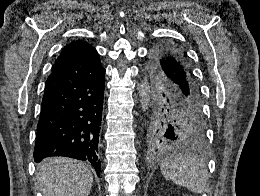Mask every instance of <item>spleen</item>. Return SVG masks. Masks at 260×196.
I'll list each match as a JSON object with an SVG mask.
<instances>
[{
  "label": "spleen",
  "mask_w": 260,
  "mask_h": 196,
  "mask_svg": "<svg viewBox=\"0 0 260 196\" xmlns=\"http://www.w3.org/2000/svg\"><path fill=\"white\" fill-rule=\"evenodd\" d=\"M165 180H171L195 194H202L208 188V170L206 164L197 156L178 154L174 158L163 160L160 168Z\"/></svg>",
  "instance_id": "obj_1"
}]
</instances>
